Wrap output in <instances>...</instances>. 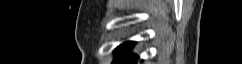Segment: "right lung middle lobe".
Returning a JSON list of instances; mask_svg holds the SVG:
<instances>
[{"label": "right lung middle lobe", "mask_w": 242, "mask_h": 64, "mask_svg": "<svg viewBox=\"0 0 242 64\" xmlns=\"http://www.w3.org/2000/svg\"><path fill=\"white\" fill-rule=\"evenodd\" d=\"M135 42H125L115 49V61L114 64H123L122 62L127 59L134 57L130 53V49L134 46Z\"/></svg>", "instance_id": "obj_1"}]
</instances>
